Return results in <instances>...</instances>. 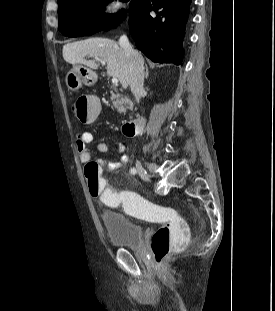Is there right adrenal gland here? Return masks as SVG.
I'll list each match as a JSON object with an SVG mask.
<instances>
[{
	"label": "right adrenal gland",
	"instance_id": "right-adrenal-gland-1",
	"mask_svg": "<svg viewBox=\"0 0 275 311\" xmlns=\"http://www.w3.org/2000/svg\"><path fill=\"white\" fill-rule=\"evenodd\" d=\"M149 77V70H148V66H145V78L147 79Z\"/></svg>",
	"mask_w": 275,
	"mask_h": 311
}]
</instances>
